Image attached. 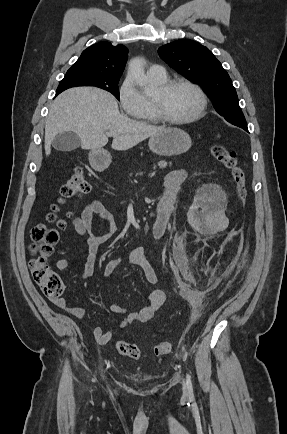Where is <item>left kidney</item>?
<instances>
[{
  "label": "left kidney",
  "instance_id": "obj_1",
  "mask_svg": "<svg viewBox=\"0 0 287 434\" xmlns=\"http://www.w3.org/2000/svg\"><path fill=\"white\" fill-rule=\"evenodd\" d=\"M206 191V202L204 204H209L211 207L219 205V202L222 198L220 193L215 189L212 190L210 187H207ZM198 207V205H193L187 213L188 222L193 227H197L199 223V219L197 217Z\"/></svg>",
  "mask_w": 287,
  "mask_h": 434
}]
</instances>
